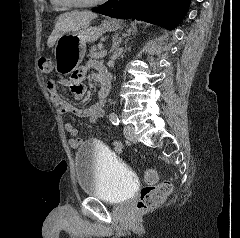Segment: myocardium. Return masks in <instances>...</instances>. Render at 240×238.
I'll return each instance as SVG.
<instances>
[{
    "instance_id": "f54148a6",
    "label": "myocardium",
    "mask_w": 240,
    "mask_h": 238,
    "mask_svg": "<svg viewBox=\"0 0 240 238\" xmlns=\"http://www.w3.org/2000/svg\"><path fill=\"white\" fill-rule=\"evenodd\" d=\"M66 1V4L68 6H73V7H95V6H98V5H101V4H104L106 3L108 0H95V1H92V2H89V3H78V2H73V1H68V0H65Z\"/></svg>"
}]
</instances>
